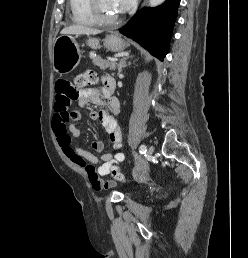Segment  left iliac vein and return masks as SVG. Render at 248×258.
<instances>
[{"instance_id":"1","label":"left iliac vein","mask_w":248,"mask_h":258,"mask_svg":"<svg viewBox=\"0 0 248 258\" xmlns=\"http://www.w3.org/2000/svg\"><path fill=\"white\" fill-rule=\"evenodd\" d=\"M154 153V147L153 146H149L148 148V155L151 156Z\"/></svg>"}]
</instances>
